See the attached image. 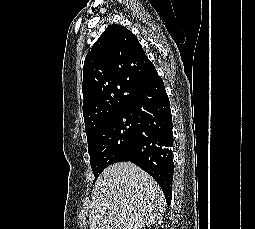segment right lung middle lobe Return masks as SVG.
<instances>
[{
    "mask_svg": "<svg viewBox=\"0 0 255 229\" xmlns=\"http://www.w3.org/2000/svg\"><path fill=\"white\" fill-rule=\"evenodd\" d=\"M136 126L135 117L122 110L101 124L87 138L90 164L95 179L109 165L129 159Z\"/></svg>",
    "mask_w": 255,
    "mask_h": 229,
    "instance_id": "dd1d6c3e",
    "label": "right lung middle lobe"
}]
</instances>
